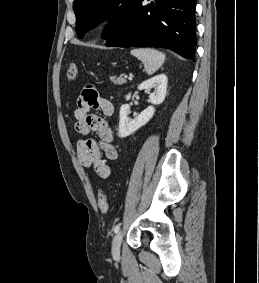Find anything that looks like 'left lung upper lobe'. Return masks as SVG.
Returning <instances> with one entry per match:
<instances>
[{
	"mask_svg": "<svg viewBox=\"0 0 259 283\" xmlns=\"http://www.w3.org/2000/svg\"><path fill=\"white\" fill-rule=\"evenodd\" d=\"M135 0H74L76 15V32L83 38L97 23L110 20L109 28L103 36L108 41L122 27Z\"/></svg>",
	"mask_w": 259,
	"mask_h": 283,
	"instance_id": "left-lung-upper-lobe-1",
	"label": "left lung upper lobe"
}]
</instances>
